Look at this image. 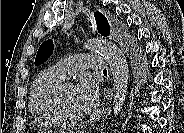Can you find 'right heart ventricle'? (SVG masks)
<instances>
[{
	"label": "right heart ventricle",
	"mask_w": 184,
	"mask_h": 133,
	"mask_svg": "<svg viewBox=\"0 0 184 133\" xmlns=\"http://www.w3.org/2000/svg\"><path fill=\"white\" fill-rule=\"evenodd\" d=\"M64 77L55 67L42 71L35 79L30 93V108L37 121L46 126L62 122L54 103L57 88Z\"/></svg>",
	"instance_id": "1"
}]
</instances>
